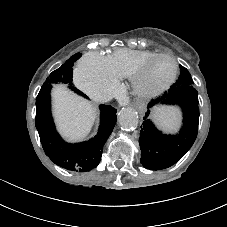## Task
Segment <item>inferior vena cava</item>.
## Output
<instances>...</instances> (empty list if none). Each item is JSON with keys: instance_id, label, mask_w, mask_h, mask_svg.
<instances>
[{"instance_id": "1", "label": "inferior vena cava", "mask_w": 227, "mask_h": 227, "mask_svg": "<svg viewBox=\"0 0 227 227\" xmlns=\"http://www.w3.org/2000/svg\"><path fill=\"white\" fill-rule=\"evenodd\" d=\"M93 98L97 102H106V101H109L110 100V97H107V96H97L96 94L93 95Z\"/></svg>"}]
</instances>
